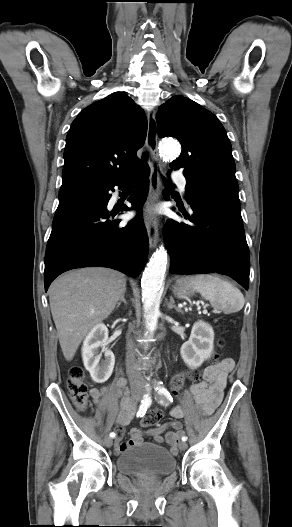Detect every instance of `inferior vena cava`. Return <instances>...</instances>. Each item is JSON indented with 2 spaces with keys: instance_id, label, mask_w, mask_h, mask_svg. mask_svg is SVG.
<instances>
[{
  "instance_id": "1",
  "label": "inferior vena cava",
  "mask_w": 292,
  "mask_h": 527,
  "mask_svg": "<svg viewBox=\"0 0 292 527\" xmlns=\"http://www.w3.org/2000/svg\"><path fill=\"white\" fill-rule=\"evenodd\" d=\"M135 352L134 344L132 341L127 344L126 353V368L129 377L130 385L132 388L144 385V379L137 366L134 364Z\"/></svg>"
}]
</instances>
